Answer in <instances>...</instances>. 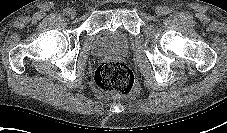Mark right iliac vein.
<instances>
[{"label": "right iliac vein", "instance_id": "1", "mask_svg": "<svg viewBox=\"0 0 227 133\" xmlns=\"http://www.w3.org/2000/svg\"><path fill=\"white\" fill-rule=\"evenodd\" d=\"M69 16H70L71 18H74V17L76 16V11H75V10H70Z\"/></svg>", "mask_w": 227, "mask_h": 133}]
</instances>
